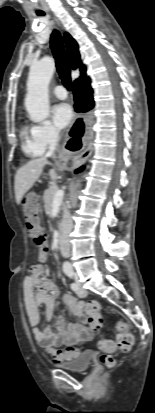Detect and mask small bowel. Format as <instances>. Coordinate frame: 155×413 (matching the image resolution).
Returning a JSON list of instances; mask_svg holds the SVG:
<instances>
[{
	"label": "small bowel",
	"mask_w": 155,
	"mask_h": 413,
	"mask_svg": "<svg viewBox=\"0 0 155 413\" xmlns=\"http://www.w3.org/2000/svg\"><path fill=\"white\" fill-rule=\"evenodd\" d=\"M43 273L44 266L35 264L30 267L24 279L26 316L37 344L51 353L57 361L70 360L81 353L82 350L78 346L80 343L91 340L94 334L101 330L103 318L101 315H92L88 312L85 314L84 302L65 294L61 296L62 303L80 318L81 323L66 324L63 318L59 317L55 329H40V306H45V318L49 321L52 319L55 299L58 297V288L53 283L41 280ZM62 346L66 349L62 350Z\"/></svg>",
	"instance_id": "1"
}]
</instances>
